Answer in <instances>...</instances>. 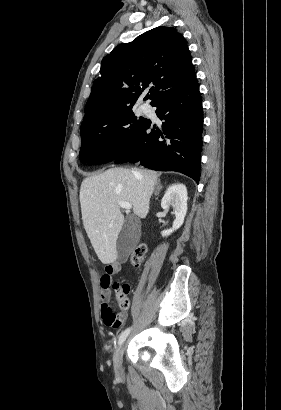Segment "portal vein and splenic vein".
<instances>
[{"label":"portal vein and splenic vein","mask_w":281,"mask_h":410,"mask_svg":"<svg viewBox=\"0 0 281 410\" xmlns=\"http://www.w3.org/2000/svg\"><path fill=\"white\" fill-rule=\"evenodd\" d=\"M119 205L126 210H130L132 208V205L128 202H119Z\"/></svg>","instance_id":"18ae733b"}]
</instances>
